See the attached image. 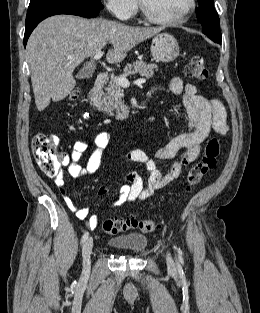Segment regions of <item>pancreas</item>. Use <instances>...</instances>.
I'll list each match as a JSON object with an SVG mask.
<instances>
[{"label":"pancreas","mask_w":260,"mask_h":313,"mask_svg":"<svg viewBox=\"0 0 260 313\" xmlns=\"http://www.w3.org/2000/svg\"><path fill=\"white\" fill-rule=\"evenodd\" d=\"M155 71H158V67L155 64H146L143 61H136L132 64H128L124 68V73L120 77H127L130 75L140 74L146 78L153 77ZM123 90L117 83V78L112 79L109 85L105 88L104 92H101L98 96V108L115 116L118 120H124L128 116V109L122 101Z\"/></svg>","instance_id":"obj_1"}]
</instances>
